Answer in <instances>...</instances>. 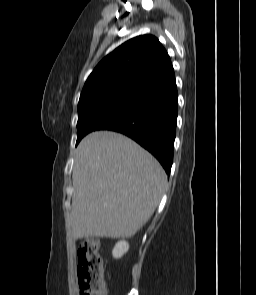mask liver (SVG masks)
<instances>
[{
    "instance_id": "1",
    "label": "liver",
    "mask_w": 256,
    "mask_h": 295,
    "mask_svg": "<svg viewBox=\"0 0 256 295\" xmlns=\"http://www.w3.org/2000/svg\"><path fill=\"white\" fill-rule=\"evenodd\" d=\"M73 240L133 236L150 219L167 183L160 163L130 138L88 134L73 167Z\"/></svg>"
}]
</instances>
